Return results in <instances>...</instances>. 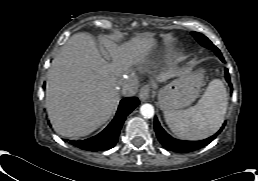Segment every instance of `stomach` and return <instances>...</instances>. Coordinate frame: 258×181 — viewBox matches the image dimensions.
Returning <instances> with one entry per match:
<instances>
[{
    "mask_svg": "<svg viewBox=\"0 0 258 181\" xmlns=\"http://www.w3.org/2000/svg\"><path fill=\"white\" fill-rule=\"evenodd\" d=\"M204 84L202 71L177 78L157 91L158 104L163 111L176 110L192 104Z\"/></svg>",
    "mask_w": 258,
    "mask_h": 181,
    "instance_id": "stomach-1",
    "label": "stomach"
}]
</instances>
